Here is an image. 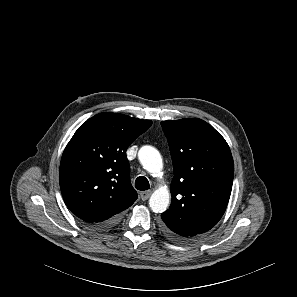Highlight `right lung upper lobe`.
Here are the masks:
<instances>
[{
	"mask_svg": "<svg viewBox=\"0 0 297 297\" xmlns=\"http://www.w3.org/2000/svg\"><path fill=\"white\" fill-rule=\"evenodd\" d=\"M151 125L150 120L100 113L78 128L59 169L61 192L72 213L92 225L134 203L137 192L130 182L126 150Z\"/></svg>",
	"mask_w": 297,
	"mask_h": 297,
	"instance_id": "1",
	"label": "right lung upper lobe"
}]
</instances>
